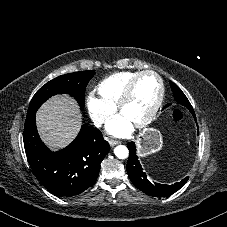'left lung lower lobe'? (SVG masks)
<instances>
[{
    "instance_id": "obj_1",
    "label": "left lung lower lobe",
    "mask_w": 227,
    "mask_h": 227,
    "mask_svg": "<svg viewBox=\"0 0 227 227\" xmlns=\"http://www.w3.org/2000/svg\"><path fill=\"white\" fill-rule=\"evenodd\" d=\"M195 117V113L191 112ZM129 159L127 162V172L132 183L144 193L155 197H167L177 192L188 180V177L172 185L152 183L138 160L134 142L128 143Z\"/></svg>"
}]
</instances>
